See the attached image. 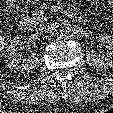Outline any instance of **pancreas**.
<instances>
[{"label": "pancreas", "mask_w": 113, "mask_h": 113, "mask_svg": "<svg viewBox=\"0 0 113 113\" xmlns=\"http://www.w3.org/2000/svg\"><path fill=\"white\" fill-rule=\"evenodd\" d=\"M48 17L43 14H39V12L34 11L32 14V20L34 24L42 23L43 21H46Z\"/></svg>", "instance_id": "obj_1"}]
</instances>
